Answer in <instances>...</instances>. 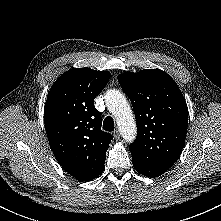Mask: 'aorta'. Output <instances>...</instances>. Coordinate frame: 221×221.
<instances>
[{"mask_svg": "<svg viewBox=\"0 0 221 221\" xmlns=\"http://www.w3.org/2000/svg\"><path fill=\"white\" fill-rule=\"evenodd\" d=\"M106 106L115 117L122 137L131 142L135 139L137 129L133 112L125 98L118 90L111 89L105 95Z\"/></svg>", "mask_w": 221, "mask_h": 221, "instance_id": "obj_1", "label": "aorta"}]
</instances>
